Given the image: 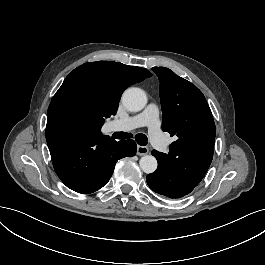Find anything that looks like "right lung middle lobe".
Listing matches in <instances>:
<instances>
[{
    "instance_id": "1",
    "label": "right lung middle lobe",
    "mask_w": 265,
    "mask_h": 265,
    "mask_svg": "<svg viewBox=\"0 0 265 265\" xmlns=\"http://www.w3.org/2000/svg\"><path fill=\"white\" fill-rule=\"evenodd\" d=\"M105 101L84 84L58 90L47 112V128L100 133L105 118L112 115Z\"/></svg>"
}]
</instances>
